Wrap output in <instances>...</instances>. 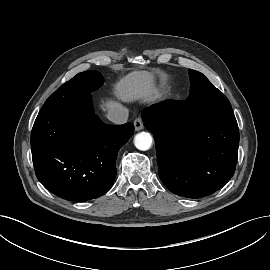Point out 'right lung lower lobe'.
I'll use <instances>...</instances> for the list:
<instances>
[{"instance_id":"right-lung-lower-lobe-1","label":"right lung lower lobe","mask_w":270,"mask_h":270,"mask_svg":"<svg viewBox=\"0 0 270 270\" xmlns=\"http://www.w3.org/2000/svg\"><path fill=\"white\" fill-rule=\"evenodd\" d=\"M133 131L131 123H103L90 95L43 106L31 132L36 176L65 200L98 198L112 187L118 151Z\"/></svg>"}]
</instances>
